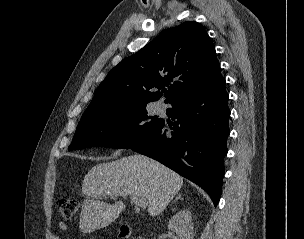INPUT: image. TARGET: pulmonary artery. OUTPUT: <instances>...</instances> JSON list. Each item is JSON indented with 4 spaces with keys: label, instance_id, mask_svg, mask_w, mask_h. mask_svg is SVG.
<instances>
[{
    "label": "pulmonary artery",
    "instance_id": "obj_1",
    "mask_svg": "<svg viewBox=\"0 0 304 239\" xmlns=\"http://www.w3.org/2000/svg\"><path fill=\"white\" fill-rule=\"evenodd\" d=\"M157 109H158L159 111H162V110L164 109V105H163V104H159V105L157 106Z\"/></svg>",
    "mask_w": 304,
    "mask_h": 239
}]
</instances>
